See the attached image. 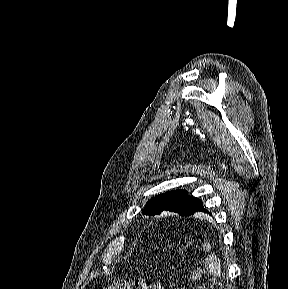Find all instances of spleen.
I'll use <instances>...</instances> for the list:
<instances>
[{
    "mask_svg": "<svg viewBox=\"0 0 288 289\" xmlns=\"http://www.w3.org/2000/svg\"><path fill=\"white\" fill-rule=\"evenodd\" d=\"M205 266L216 277L221 276V265L219 258L215 255H209L205 260Z\"/></svg>",
    "mask_w": 288,
    "mask_h": 289,
    "instance_id": "3e777b00",
    "label": "spleen"
}]
</instances>
